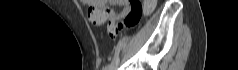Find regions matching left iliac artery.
Instances as JSON below:
<instances>
[{
	"label": "left iliac artery",
	"instance_id": "obj_1",
	"mask_svg": "<svg viewBox=\"0 0 238 70\" xmlns=\"http://www.w3.org/2000/svg\"><path fill=\"white\" fill-rule=\"evenodd\" d=\"M111 65H107L104 70H110Z\"/></svg>",
	"mask_w": 238,
	"mask_h": 70
}]
</instances>
